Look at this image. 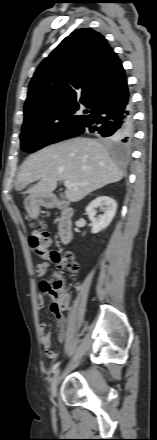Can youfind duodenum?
I'll list each match as a JSON object with an SVG mask.
<instances>
[{"mask_svg":"<svg viewBox=\"0 0 157 440\" xmlns=\"http://www.w3.org/2000/svg\"><path fill=\"white\" fill-rule=\"evenodd\" d=\"M44 203L48 205H57L60 210V216L57 223V232L60 240L63 243H69L72 238V217L74 210L71 206L64 202H57L52 197H43L41 199Z\"/></svg>","mask_w":157,"mask_h":440,"instance_id":"410a0bca","label":"duodenum"}]
</instances>
